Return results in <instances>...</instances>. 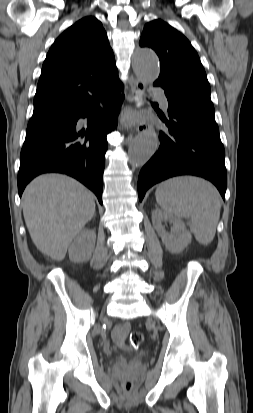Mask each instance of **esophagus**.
I'll use <instances>...</instances> for the list:
<instances>
[{"label": "esophagus", "instance_id": "1", "mask_svg": "<svg viewBox=\"0 0 253 413\" xmlns=\"http://www.w3.org/2000/svg\"><path fill=\"white\" fill-rule=\"evenodd\" d=\"M146 85L142 80L136 79L134 86L131 89V100L134 102L136 110H140L144 105V94ZM134 129L137 132L146 131L149 128V124L143 121H136L133 123Z\"/></svg>", "mask_w": 253, "mask_h": 413}]
</instances>
